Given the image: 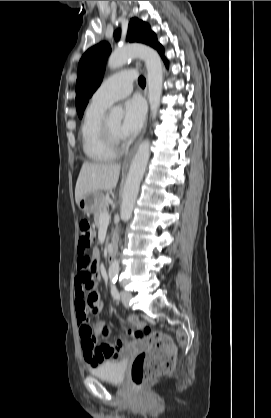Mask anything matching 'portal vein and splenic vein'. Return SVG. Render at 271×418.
<instances>
[{"label":"portal vein and splenic vein","mask_w":271,"mask_h":418,"mask_svg":"<svg viewBox=\"0 0 271 418\" xmlns=\"http://www.w3.org/2000/svg\"><path fill=\"white\" fill-rule=\"evenodd\" d=\"M110 216L109 213L106 211L100 216V223H109Z\"/></svg>","instance_id":"obj_1"}]
</instances>
